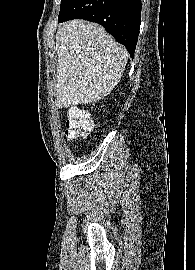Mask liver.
<instances>
[{"mask_svg": "<svg viewBox=\"0 0 195 270\" xmlns=\"http://www.w3.org/2000/svg\"><path fill=\"white\" fill-rule=\"evenodd\" d=\"M56 105L89 104L110 94L120 81L128 53L103 27L83 20L61 25L56 34Z\"/></svg>", "mask_w": 195, "mask_h": 270, "instance_id": "obj_1", "label": "liver"}]
</instances>
